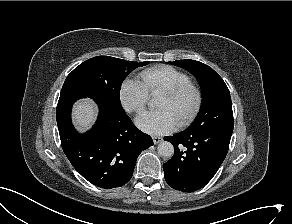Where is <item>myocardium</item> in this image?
<instances>
[{"instance_id":"obj_1","label":"myocardium","mask_w":292,"mask_h":224,"mask_svg":"<svg viewBox=\"0 0 292 224\" xmlns=\"http://www.w3.org/2000/svg\"><path fill=\"white\" fill-rule=\"evenodd\" d=\"M187 92H192L194 94V103L189 112L177 123L179 128L189 125L198 115L203 104L202 89L192 82H187L165 89L160 93V95L166 96L170 99H176Z\"/></svg>"}]
</instances>
